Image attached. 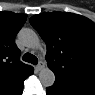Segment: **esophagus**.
<instances>
[{
	"label": "esophagus",
	"mask_w": 95,
	"mask_h": 95,
	"mask_svg": "<svg viewBox=\"0 0 95 95\" xmlns=\"http://www.w3.org/2000/svg\"><path fill=\"white\" fill-rule=\"evenodd\" d=\"M45 67L44 62L40 61L37 65H36V70L37 71H41L43 68Z\"/></svg>",
	"instance_id": "1"
}]
</instances>
